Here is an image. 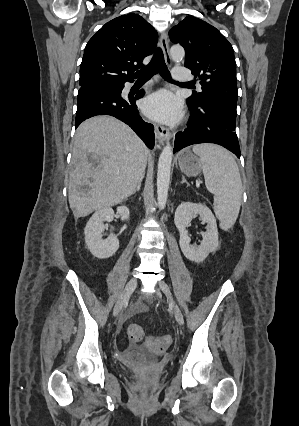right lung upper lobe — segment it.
<instances>
[{
	"instance_id": "cb5924a9",
	"label": "right lung upper lobe",
	"mask_w": 299,
	"mask_h": 426,
	"mask_svg": "<svg viewBox=\"0 0 299 426\" xmlns=\"http://www.w3.org/2000/svg\"><path fill=\"white\" fill-rule=\"evenodd\" d=\"M155 29L140 15L106 23L87 43L80 67L82 86H119L136 78L135 70L157 44Z\"/></svg>"
}]
</instances>
